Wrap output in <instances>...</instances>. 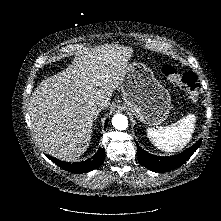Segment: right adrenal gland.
I'll use <instances>...</instances> for the list:
<instances>
[{"instance_id":"obj_1","label":"right adrenal gland","mask_w":221,"mask_h":221,"mask_svg":"<svg viewBox=\"0 0 221 221\" xmlns=\"http://www.w3.org/2000/svg\"><path fill=\"white\" fill-rule=\"evenodd\" d=\"M102 110V108H99L98 109V113ZM97 120V117L95 118V121Z\"/></svg>"}]
</instances>
